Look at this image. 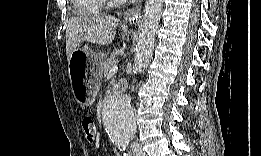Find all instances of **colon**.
<instances>
[{"instance_id": "5ec220e1", "label": "colon", "mask_w": 261, "mask_h": 156, "mask_svg": "<svg viewBox=\"0 0 261 156\" xmlns=\"http://www.w3.org/2000/svg\"><path fill=\"white\" fill-rule=\"evenodd\" d=\"M81 128L85 135L86 141L89 144L94 143L97 137V128L91 116L86 115L81 118Z\"/></svg>"}]
</instances>
